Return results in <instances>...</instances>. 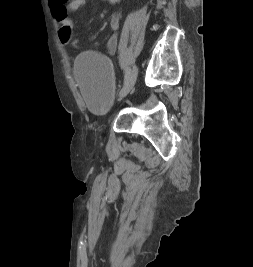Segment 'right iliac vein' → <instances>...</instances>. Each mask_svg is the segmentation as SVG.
<instances>
[{
    "label": "right iliac vein",
    "instance_id": "63e3f726",
    "mask_svg": "<svg viewBox=\"0 0 253 267\" xmlns=\"http://www.w3.org/2000/svg\"><path fill=\"white\" fill-rule=\"evenodd\" d=\"M136 78H137V69L136 67H134L130 73L129 78L125 82V85L123 86L120 92V98H123L129 94V92L131 91V89L133 88L135 84Z\"/></svg>",
    "mask_w": 253,
    "mask_h": 267
}]
</instances>
